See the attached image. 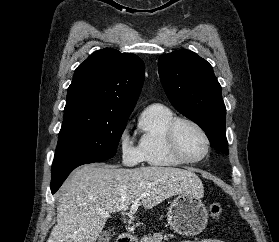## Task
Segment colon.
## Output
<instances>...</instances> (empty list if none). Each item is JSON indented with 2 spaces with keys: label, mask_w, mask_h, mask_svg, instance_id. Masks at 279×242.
Returning a JSON list of instances; mask_svg holds the SVG:
<instances>
[{
  "label": "colon",
  "mask_w": 279,
  "mask_h": 242,
  "mask_svg": "<svg viewBox=\"0 0 279 242\" xmlns=\"http://www.w3.org/2000/svg\"><path fill=\"white\" fill-rule=\"evenodd\" d=\"M210 217L214 220H218L222 217L223 207L219 202H214L209 207Z\"/></svg>",
  "instance_id": "obj_1"
}]
</instances>
